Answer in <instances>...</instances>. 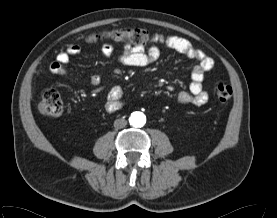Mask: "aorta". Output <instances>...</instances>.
<instances>
[{
    "label": "aorta",
    "instance_id": "1",
    "mask_svg": "<svg viewBox=\"0 0 277 218\" xmlns=\"http://www.w3.org/2000/svg\"><path fill=\"white\" fill-rule=\"evenodd\" d=\"M129 122L133 127H142L146 123V116L142 112H133L129 117Z\"/></svg>",
    "mask_w": 277,
    "mask_h": 218
}]
</instances>
